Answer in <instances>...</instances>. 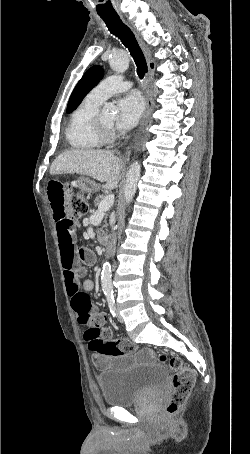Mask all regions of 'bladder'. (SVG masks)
Wrapping results in <instances>:
<instances>
[{
    "label": "bladder",
    "instance_id": "obj_1",
    "mask_svg": "<svg viewBox=\"0 0 250 454\" xmlns=\"http://www.w3.org/2000/svg\"><path fill=\"white\" fill-rule=\"evenodd\" d=\"M129 360L130 356H118ZM114 368L98 375L103 401L116 407L131 406L159 390L165 381V369L154 363Z\"/></svg>",
    "mask_w": 250,
    "mask_h": 454
}]
</instances>
